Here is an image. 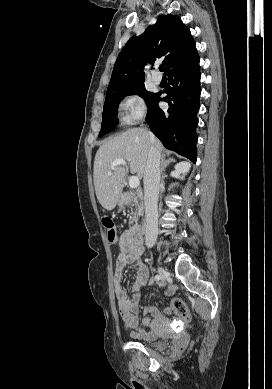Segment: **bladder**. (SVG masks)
Listing matches in <instances>:
<instances>
[{
  "label": "bladder",
  "instance_id": "obj_1",
  "mask_svg": "<svg viewBox=\"0 0 272 389\" xmlns=\"http://www.w3.org/2000/svg\"><path fill=\"white\" fill-rule=\"evenodd\" d=\"M166 340L164 339H154L145 341L144 344L154 348H163L166 345Z\"/></svg>",
  "mask_w": 272,
  "mask_h": 389
}]
</instances>
